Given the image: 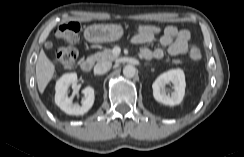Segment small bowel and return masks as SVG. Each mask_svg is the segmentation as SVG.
Here are the masks:
<instances>
[{
	"instance_id": "1",
	"label": "small bowel",
	"mask_w": 244,
	"mask_h": 157,
	"mask_svg": "<svg viewBox=\"0 0 244 157\" xmlns=\"http://www.w3.org/2000/svg\"><path fill=\"white\" fill-rule=\"evenodd\" d=\"M158 40L159 43L167 48V52L172 56L186 54L190 48L191 34L188 30L178 29L175 26H167L163 34L159 37L150 34H136L132 38L134 44H148ZM165 51L163 48L150 49L144 47L140 50L143 59H160Z\"/></svg>"
}]
</instances>
